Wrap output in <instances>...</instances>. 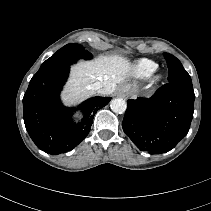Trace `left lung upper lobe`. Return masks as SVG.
I'll list each match as a JSON object with an SVG mask.
<instances>
[{
	"mask_svg": "<svg viewBox=\"0 0 211 211\" xmlns=\"http://www.w3.org/2000/svg\"><path fill=\"white\" fill-rule=\"evenodd\" d=\"M169 69V82H185L192 84L191 78L187 71L183 68L181 62L169 53L163 54Z\"/></svg>",
	"mask_w": 211,
	"mask_h": 211,
	"instance_id": "5c2ea615",
	"label": "left lung upper lobe"
}]
</instances>
